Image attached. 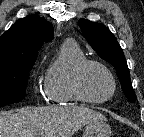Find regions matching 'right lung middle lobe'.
<instances>
[{"mask_svg":"<svg viewBox=\"0 0 144 137\" xmlns=\"http://www.w3.org/2000/svg\"><path fill=\"white\" fill-rule=\"evenodd\" d=\"M36 59L0 64V107L22 100Z\"/></svg>","mask_w":144,"mask_h":137,"instance_id":"dd1d6c3e","label":"right lung middle lobe"}]
</instances>
